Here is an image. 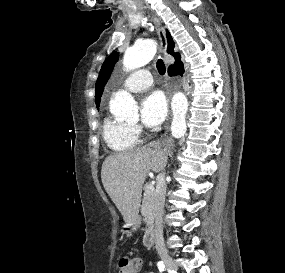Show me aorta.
I'll return each mask as SVG.
<instances>
[{
	"mask_svg": "<svg viewBox=\"0 0 285 273\" xmlns=\"http://www.w3.org/2000/svg\"><path fill=\"white\" fill-rule=\"evenodd\" d=\"M156 44L152 40L137 42L127 48L123 57V66L126 70L140 68L149 63L156 54ZM173 121L171 133L175 138H181L186 132V113L188 101L184 93L174 94L171 102ZM112 115L120 119L138 117V106L133 97L126 92L117 93L109 102Z\"/></svg>",
	"mask_w": 285,
	"mask_h": 273,
	"instance_id": "1",
	"label": "aorta"
}]
</instances>
